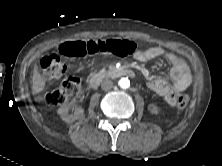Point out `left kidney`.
Segmentation results:
<instances>
[{
  "label": "left kidney",
  "mask_w": 222,
  "mask_h": 166,
  "mask_svg": "<svg viewBox=\"0 0 222 166\" xmlns=\"http://www.w3.org/2000/svg\"><path fill=\"white\" fill-rule=\"evenodd\" d=\"M148 110L152 113L157 115L159 113V108L155 104H150L148 106Z\"/></svg>",
  "instance_id": "1"
}]
</instances>
